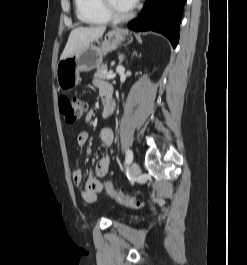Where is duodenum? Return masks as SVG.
Returning <instances> with one entry per match:
<instances>
[{
  "label": "duodenum",
  "instance_id": "obj_1",
  "mask_svg": "<svg viewBox=\"0 0 247 265\" xmlns=\"http://www.w3.org/2000/svg\"><path fill=\"white\" fill-rule=\"evenodd\" d=\"M112 102H113L112 91H111V89H109V90L106 89L105 93H104V105H105L104 110H103V116L104 117L110 116Z\"/></svg>",
  "mask_w": 247,
  "mask_h": 265
}]
</instances>
